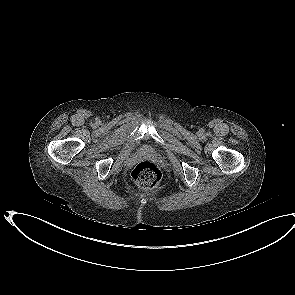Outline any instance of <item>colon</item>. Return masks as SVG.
<instances>
[{
	"instance_id": "5ec220e1",
	"label": "colon",
	"mask_w": 295,
	"mask_h": 295,
	"mask_svg": "<svg viewBox=\"0 0 295 295\" xmlns=\"http://www.w3.org/2000/svg\"><path fill=\"white\" fill-rule=\"evenodd\" d=\"M134 182L143 189L157 186L162 178L160 169L151 161H142L132 171Z\"/></svg>"
}]
</instances>
